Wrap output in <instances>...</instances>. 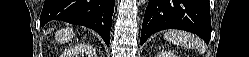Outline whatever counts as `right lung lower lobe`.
I'll return each mask as SVG.
<instances>
[{
  "instance_id": "1",
  "label": "right lung lower lobe",
  "mask_w": 249,
  "mask_h": 57,
  "mask_svg": "<svg viewBox=\"0 0 249 57\" xmlns=\"http://www.w3.org/2000/svg\"><path fill=\"white\" fill-rule=\"evenodd\" d=\"M114 5L115 0H45L40 26L51 20L83 25L97 31L109 45Z\"/></svg>"
}]
</instances>
